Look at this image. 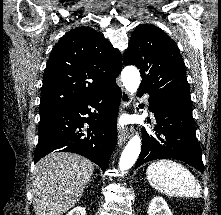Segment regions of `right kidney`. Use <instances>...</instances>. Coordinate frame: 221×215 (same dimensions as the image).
Listing matches in <instances>:
<instances>
[{
    "mask_svg": "<svg viewBox=\"0 0 221 215\" xmlns=\"http://www.w3.org/2000/svg\"><path fill=\"white\" fill-rule=\"evenodd\" d=\"M67 215H86V210L82 206L73 208Z\"/></svg>",
    "mask_w": 221,
    "mask_h": 215,
    "instance_id": "1",
    "label": "right kidney"
}]
</instances>
